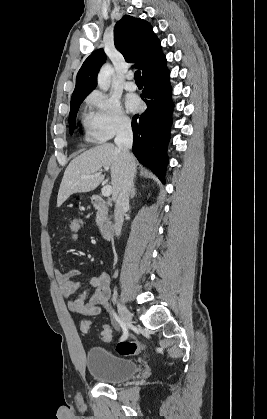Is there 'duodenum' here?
Returning a JSON list of instances; mask_svg holds the SVG:
<instances>
[{
	"label": "duodenum",
	"mask_w": 267,
	"mask_h": 419,
	"mask_svg": "<svg viewBox=\"0 0 267 419\" xmlns=\"http://www.w3.org/2000/svg\"><path fill=\"white\" fill-rule=\"evenodd\" d=\"M91 203L103 215L100 233L104 239L108 240L112 236L115 227L114 221L110 216L109 206L102 197L97 195L91 197Z\"/></svg>",
	"instance_id": "obj_1"
}]
</instances>
